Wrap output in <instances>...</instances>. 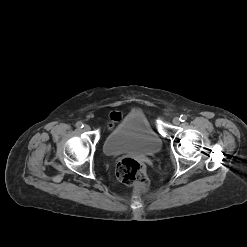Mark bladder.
I'll use <instances>...</instances> for the list:
<instances>
[{"mask_svg":"<svg viewBox=\"0 0 247 247\" xmlns=\"http://www.w3.org/2000/svg\"><path fill=\"white\" fill-rule=\"evenodd\" d=\"M161 146L160 137L141 111L128 113L103 142V150L108 156L125 153L154 155Z\"/></svg>","mask_w":247,"mask_h":247,"instance_id":"obj_1","label":"bladder"}]
</instances>
